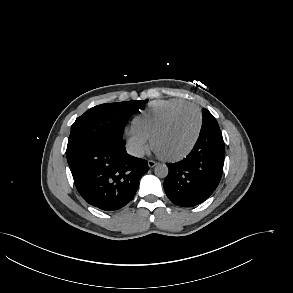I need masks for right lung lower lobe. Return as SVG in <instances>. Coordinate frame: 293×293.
Here are the masks:
<instances>
[{
	"mask_svg": "<svg viewBox=\"0 0 293 293\" xmlns=\"http://www.w3.org/2000/svg\"><path fill=\"white\" fill-rule=\"evenodd\" d=\"M75 186L92 206L118 210L134 197L147 161L126 152L122 139L92 143L67 156Z\"/></svg>",
	"mask_w": 293,
	"mask_h": 293,
	"instance_id": "obj_1",
	"label": "right lung lower lobe"
}]
</instances>
